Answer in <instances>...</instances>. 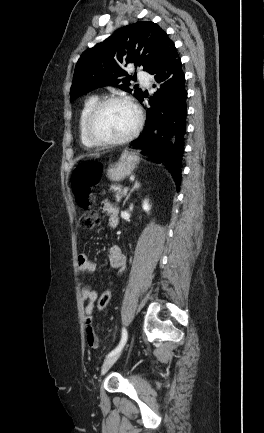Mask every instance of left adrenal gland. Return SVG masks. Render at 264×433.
Segmentation results:
<instances>
[{"mask_svg":"<svg viewBox=\"0 0 264 433\" xmlns=\"http://www.w3.org/2000/svg\"><path fill=\"white\" fill-rule=\"evenodd\" d=\"M141 187V183L139 181H135L133 187L131 188L130 192L128 193L126 199L123 202V206L125 205L126 201L129 199L130 195L132 194L133 191L138 190Z\"/></svg>","mask_w":264,"mask_h":433,"instance_id":"obj_1","label":"left adrenal gland"}]
</instances>
